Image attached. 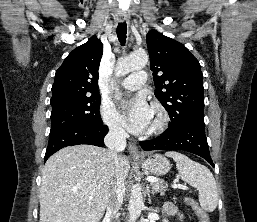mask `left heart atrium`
Here are the masks:
<instances>
[{"label":"left heart atrium","instance_id":"39dd6f15","mask_svg":"<svg viewBox=\"0 0 257 222\" xmlns=\"http://www.w3.org/2000/svg\"><path fill=\"white\" fill-rule=\"evenodd\" d=\"M127 129L135 134L144 133L151 124L153 111L143 95H138L123 105Z\"/></svg>","mask_w":257,"mask_h":222}]
</instances>
